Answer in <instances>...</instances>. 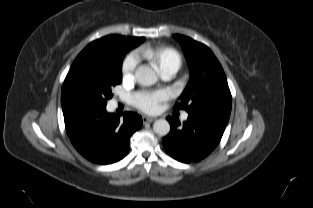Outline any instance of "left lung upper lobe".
Segmentation results:
<instances>
[{"mask_svg": "<svg viewBox=\"0 0 313 208\" xmlns=\"http://www.w3.org/2000/svg\"><path fill=\"white\" fill-rule=\"evenodd\" d=\"M182 45L191 78L174 109L188 114H210L229 119L232 97L223 68L204 44L182 35L173 36Z\"/></svg>", "mask_w": 313, "mask_h": 208, "instance_id": "obj_1", "label": "left lung upper lobe"}]
</instances>
